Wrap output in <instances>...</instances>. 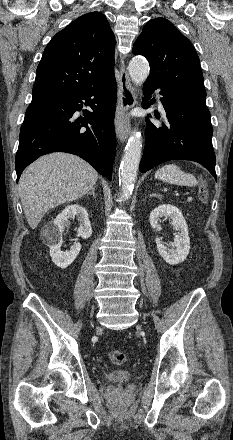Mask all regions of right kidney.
I'll return each instance as SVG.
<instances>
[{"instance_id": "ca27d5eb", "label": "right kidney", "mask_w": 233, "mask_h": 440, "mask_svg": "<svg viewBox=\"0 0 233 440\" xmlns=\"http://www.w3.org/2000/svg\"><path fill=\"white\" fill-rule=\"evenodd\" d=\"M77 217L80 222L78 235L83 239H87L92 235V227L88 218L86 209L78 204L68 205L54 221L48 223L44 227V240L50 248V256L52 261L58 267L65 269L76 259L81 250L80 243H74L69 251L63 252L61 246L63 243L62 232L68 224L69 219Z\"/></svg>"}]
</instances>
